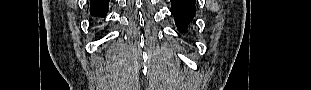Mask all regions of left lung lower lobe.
Returning <instances> with one entry per match:
<instances>
[{
    "label": "left lung lower lobe",
    "mask_w": 311,
    "mask_h": 90,
    "mask_svg": "<svg viewBox=\"0 0 311 90\" xmlns=\"http://www.w3.org/2000/svg\"><path fill=\"white\" fill-rule=\"evenodd\" d=\"M171 13L179 31L185 33L195 14V0H171Z\"/></svg>",
    "instance_id": "1"
}]
</instances>
